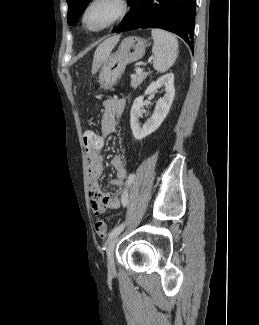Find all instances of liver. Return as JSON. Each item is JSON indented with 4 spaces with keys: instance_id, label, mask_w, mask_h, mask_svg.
Listing matches in <instances>:
<instances>
[{
    "instance_id": "obj_1",
    "label": "liver",
    "mask_w": 259,
    "mask_h": 325,
    "mask_svg": "<svg viewBox=\"0 0 259 325\" xmlns=\"http://www.w3.org/2000/svg\"><path fill=\"white\" fill-rule=\"evenodd\" d=\"M119 39H120L119 35L110 37L97 47L94 53L92 73L97 72V70L100 68L103 62L110 55L111 51L114 49Z\"/></svg>"
}]
</instances>
